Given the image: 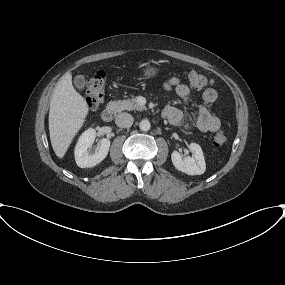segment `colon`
Segmentation results:
<instances>
[{"label":"colon","instance_id":"obj_1","mask_svg":"<svg viewBox=\"0 0 285 285\" xmlns=\"http://www.w3.org/2000/svg\"><path fill=\"white\" fill-rule=\"evenodd\" d=\"M191 86L196 89H202L212 84V80L199 72L189 71L184 73ZM106 74L103 71H97L87 82L86 102L91 108L99 107L104 100ZM228 138L223 131H218L213 137V145L221 147L227 142Z\"/></svg>","mask_w":285,"mask_h":285}]
</instances>
